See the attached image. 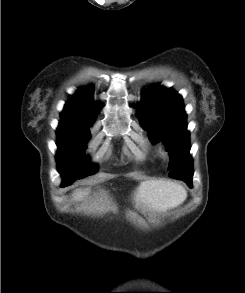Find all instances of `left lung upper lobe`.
Instances as JSON below:
<instances>
[{"instance_id":"left-lung-upper-lobe-1","label":"left lung upper lobe","mask_w":245,"mask_h":293,"mask_svg":"<svg viewBox=\"0 0 245 293\" xmlns=\"http://www.w3.org/2000/svg\"><path fill=\"white\" fill-rule=\"evenodd\" d=\"M183 99L172 89L153 86L137 110L140 122L148 131L151 139H162L170 152L171 171L169 176L181 179V176H193V163L190 152V134L187 131V115Z\"/></svg>"}]
</instances>
